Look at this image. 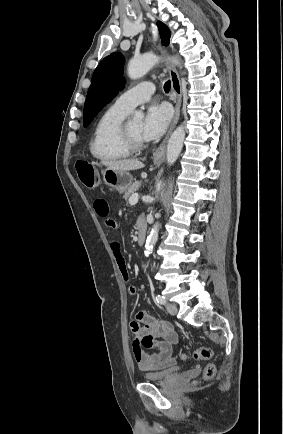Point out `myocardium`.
Returning <instances> with one entry per match:
<instances>
[{
    "label": "myocardium",
    "instance_id": "obj_1",
    "mask_svg": "<svg viewBox=\"0 0 283 434\" xmlns=\"http://www.w3.org/2000/svg\"><path fill=\"white\" fill-rule=\"evenodd\" d=\"M122 136H123V139H124V142H125L126 146L131 151L141 150L145 146V143H144V141L142 139L136 138L130 132L129 127H128V123H123V126H122Z\"/></svg>",
    "mask_w": 283,
    "mask_h": 434
}]
</instances>
